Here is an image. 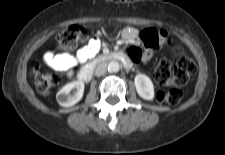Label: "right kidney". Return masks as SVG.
Wrapping results in <instances>:
<instances>
[{
  "label": "right kidney",
  "mask_w": 225,
  "mask_h": 155,
  "mask_svg": "<svg viewBox=\"0 0 225 155\" xmlns=\"http://www.w3.org/2000/svg\"><path fill=\"white\" fill-rule=\"evenodd\" d=\"M76 89L73 95L70 92ZM84 83L82 81H74L66 84L58 93L56 94V100L60 106L70 107L79 102L83 97Z\"/></svg>",
  "instance_id": "1"
}]
</instances>
